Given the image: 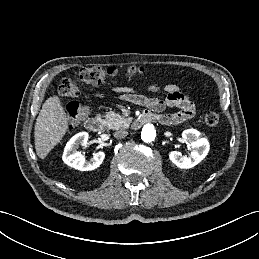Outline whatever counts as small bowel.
I'll return each instance as SVG.
<instances>
[{
	"label": "small bowel",
	"instance_id": "1",
	"mask_svg": "<svg viewBox=\"0 0 259 259\" xmlns=\"http://www.w3.org/2000/svg\"><path fill=\"white\" fill-rule=\"evenodd\" d=\"M150 92L159 91V86L152 84L147 87ZM167 96L164 100L134 93L130 88L120 87L121 99L136 105L147 107L155 116V120L164 125H174L192 118L195 115V104L180 87L168 84L164 87ZM167 107H176L175 113H163Z\"/></svg>",
	"mask_w": 259,
	"mask_h": 259
}]
</instances>
